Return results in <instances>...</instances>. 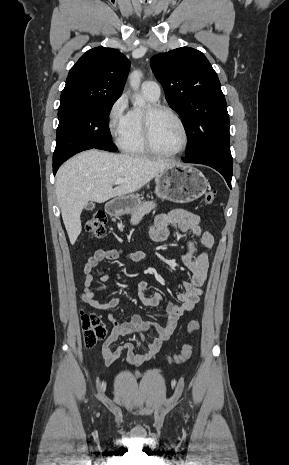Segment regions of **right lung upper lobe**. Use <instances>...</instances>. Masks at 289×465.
Segmentation results:
<instances>
[{
	"label": "right lung upper lobe",
	"mask_w": 289,
	"mask_h": 465,
	"mask_svg": "<svg viewBox=\"0 0 289 465\" xmlns=\"http://www.w3.org/2000/svg\"><path fill=\"white\" fill-rule=\"evenodd\" d=\"M129 65L126 56L116 49L96 47L87 51L70 69L58 109L118 99Z\"/></svg>",
	"instance_id": "1"
}]
</instances>
